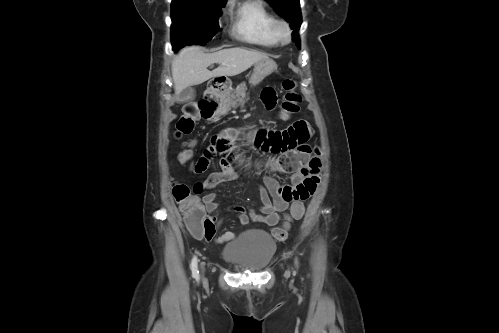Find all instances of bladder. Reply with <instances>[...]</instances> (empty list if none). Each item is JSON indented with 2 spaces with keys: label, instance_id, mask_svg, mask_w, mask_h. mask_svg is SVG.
<instances>
[{
  "label": "bladder",
  "instance_id": "1",
  "mask_svg": "<svg viewBox=\"0 0 499 333\" xmlns=\"http://www.w3.org/2000/svg\"><path fill=\"white\" fill-rule=\"evenodd\" d=\"M275 251L276 242L267 232L249 229L226 244L221 257L239 271L259 272L269 265Z\"/></svg>",
  "mask_w": 499,
  "mask_h": 333
}]
</instances>
